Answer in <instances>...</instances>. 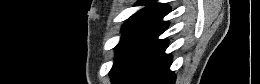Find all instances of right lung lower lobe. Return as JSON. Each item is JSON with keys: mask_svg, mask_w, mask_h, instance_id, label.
Instances as JSON below:
<instances>
[{"mask_svg": "<svg viewBox=\"0 0 260 84\" xmlns=\"http://www.w3.org/2000/svg\"><path fill=\"white\" fill-rule=\"evenodd\" d=\"M171 62L172 57L163 52L132 84H174L175 76L169 69Z\"/></svg>", "mask_w": 260, "mask_h": 84, "instance_id": "obj_1", "label": "right lung lower lobe"}]
</instances>
